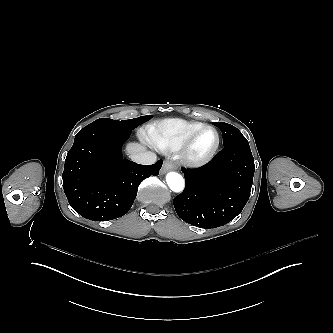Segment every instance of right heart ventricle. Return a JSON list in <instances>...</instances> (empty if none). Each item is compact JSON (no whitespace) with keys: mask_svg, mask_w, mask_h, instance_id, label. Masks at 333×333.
Returning a JSON list of instances; mask_svg holds the SVG:
<instances>
[{"mask_svg":"<svg viewBox=\"0 0 333 333\" xmlns=\"http://www.w3.org/2000/svg\"><path fill=\"white\" fill-rule=\"evenodd\" d=\"M203 125L201 121L173 118L147 127L142 140L161 152H176L186 136Z\"/></svg>","mask_w":333,"mask_h":333,"instance_id":"e07e8e85","label":"right heart ventricle"}]
</instances>
